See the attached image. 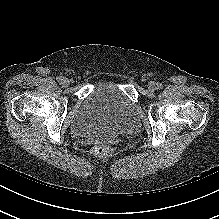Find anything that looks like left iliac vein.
Wrapping results in <instances>:
<instances>
[{"mask_svg":"<svg viewBox=\"0 0 219 219\" xmlns=\"http://www.w3.org/2000/svg\"><path fill=\"white\" fill-rule=\"evenodd\" d=\"M156 88H157V84H156L155 82L150 81V82L148 83V89H149L150 91H154V90H156Z\"/></svg>","mask_w":219,"mask_h":219,"instance_id":"obj_1","label":"left iliac vein"}]
</instances>
